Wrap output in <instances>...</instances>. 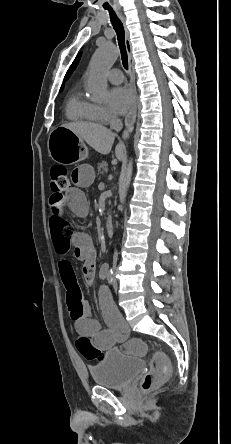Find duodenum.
<instances>
[{"label": "duodenum", "mask_w": 231, "mask_h": 444, "mask_svg": "<svg viewBox=\"0 0 231 444\" xmlns=\"http://www.w3.org/2000/svg\"><path fill=\"white\" fill-rule=\"evenodd\" d=\"M105 232L107 236L112 237L114 234V221L113 219H108L105 224ZM102 278L106 277V272H103L101 275Z\"/></svg>", "instance_id": "1"}]
</instances>
